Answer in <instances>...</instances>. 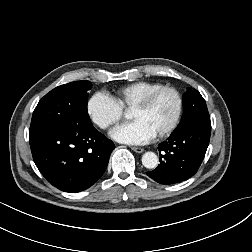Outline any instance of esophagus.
<instances>
[{"mask_svg": "<svg viewBox=\"0 0 252 252\" xmlns=\"http://www.w3.org/2000/svg\"><path fill=\"white\" fill-rule=\"evenodd\" d=\"M131 149L136 153H143L144 149L140 147H131Z\"/></svg>", "mask_w": 252, "mask_h": 252, "instance_id": "esophagus-1", "label": "esophagus"}]
</instances>
